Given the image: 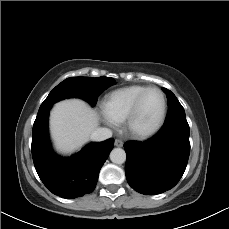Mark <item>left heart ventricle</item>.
<instances>
[{"label": "left heart ventricle", "mask_w": 229, "mask_h": 229, "mask_svg": "<svg viewBox=\"0 0 229 229\" xmlns=\"http://www.w3.org/2000/svg\"><path fill=\"white\" fill-rule=\"evenodd\" d=\"M162 108V98L157 91L149 92L141 102L135 120V128L144 130L151 127L158 119Z\"/></svg>", "instance_id": "1"}]
</instances>
